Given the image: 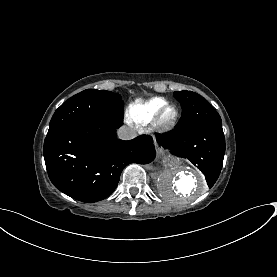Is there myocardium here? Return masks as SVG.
<instances>
[{
    "label": "myocardium",
    "instance_id": "obj_1",
    "mask_svg": "<svg viewBox=\"0 0 277 277\" xmlns=\"http://www.w3.org/2000/svg\"><path fill=\"white\" fill-rule=\"evenodd\" d=\"M170 108L174 109L173 118L170 121H165L164 114ZM178 119H179V110H178L177 106H175L174 104H171V103H166V104L162 105L156 112V114L151 122V126L155 132L165 133V132L172 130L175 127V125L178 122Z\"/></svg>",
    "mask_w": 277,
    "mask_h": 277
}]
</instances>
